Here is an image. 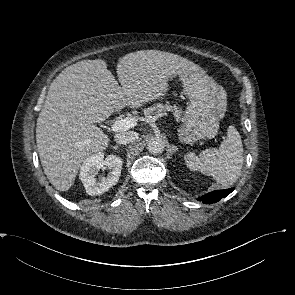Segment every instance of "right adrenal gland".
<instances>
[{
    "instance_id": "1",
    "label": "right adrenal gland",
    "mask_w": 295,
    "mask_h": 295,
    "mask_svg": "<svg viewBox=\"0 0 295 295\" xmlns=\"http://www.w3.org/2000/svg\"><path fill=\"white\" fill-rule=\"evenodd\" d=\"M118 148H119L118 145L113 146L114 150H118Z\"/></svg>"
}]
</instances>
